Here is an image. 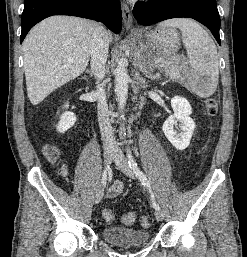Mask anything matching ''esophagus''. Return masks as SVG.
Masks as SVG:
<instances>
[{
	"mask_svg": "<svg viewBox=\"0 0 247 257\" xmlns=\"http://www.w3.org/2000/svg\"><path fill=\"white\" fill-rule=\"evenodd\" d=\"M122 15H123V24L127 31L134 30L133 19L129 6L125 3H122Z\"/></svg>",
	"mask_w": 247,
	"mask_h": 257,
	"instance_id": "1",
	"label": "esophagus"
}]
</instances>
